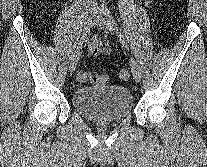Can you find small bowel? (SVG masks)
<instances>
[{
  "label": "small bowel",
  "instance_id": "small-bowel-1",
  "mask_svg": "<svg viewBox=\"0 0 207 167\" xmlns=\"http://www.w3.org/2000/svg\"><path fill=\"white\" fill-rule=\"evenodd\" d=\"M154 0H145V5L146 6H150V4L153 2ZM109 52V48L104 45L101 40L97 37L94 36L89 44H88V53L95 57V58H100L106 54H108Z\"/></svg>",
  "mask_w": 207,
  "mask_h": 167
}]
</instances>
